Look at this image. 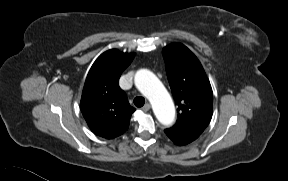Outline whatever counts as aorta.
<instances>
[{"instance_id":"1","label":"aorta","mask_w":288,"mask_h":181,"mask_svg":"<svg viewBox=\"0 0 288 181\" xmlns=\"http://www.w3.org/2000/svg\"><path fill=\"white\" fill-rule=\"evenodd\" d=\"M134 82L139 91L151 102L158 121L169 126L175 118V107L168 91L158 77L147 69L136 72Z\"/></svg>"}]
</instances>
